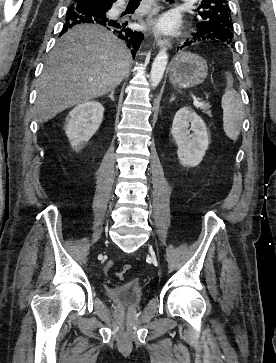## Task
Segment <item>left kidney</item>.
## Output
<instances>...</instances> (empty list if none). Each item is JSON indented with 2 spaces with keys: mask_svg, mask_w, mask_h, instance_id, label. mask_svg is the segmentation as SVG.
Masks as SVG:
<instances>
[{
  "mask_svg": "<svg viewBox=\"0 0 276 363\" xmlns=\"http://www.w3.org/2000/svg\"><path fill=\"white\" fill-rule=\"evenodd\" d=\"M171 134L178 146L180 163L184 167L199 165L209 145L208 131L201 117L190 107H182L174 116Z\"/></svg>",
  "mask_w": 276,
  "mask_h": 363,
  "instance_id": "5707ae66",
  "label": "left kidney"
}]
</instances>
